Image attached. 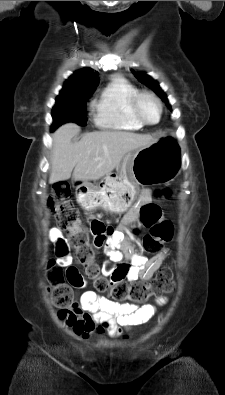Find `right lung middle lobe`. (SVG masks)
<instances>
[{"label":"right lung middle lobe","mask_w":225,"mask_h":395,"mask_svg":"<svg viewBox=\"0 0 225 395\" xmlns=\"http://www.w3.org/2000/svg\"><path fill=\"white\" fill-rule=\"evenodd\" d=\"M93 92H60L52 110L53 124L51 130L66 122H75L80 126L87 125L86 101Z\"/></svg>","instance_id":"dd1d6c3e"}]
</instances>
